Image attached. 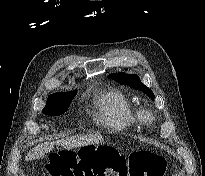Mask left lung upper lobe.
I'll return each mask as SVG.
<instances>
[{
	"mask_svg": "<svg viewBox=\"0 0 205 176\" xmlns=\"http://www.w3.org/2000/svg\"><path fill=\"white\" fill-rule=\"evenodd\" d=\"M110 77L116 79L122 84L129 85L136 90L142 91L154 100L153 92L146 87L136 74H125L123 72L110 74Z\"/></svg>",
	"mask_w": 205,
	"mask_h": 176,
	"instance_id": "obj_1",
	"label": "left lung upper lobe"
}]
</instances>
